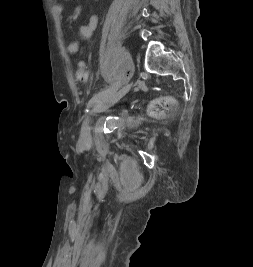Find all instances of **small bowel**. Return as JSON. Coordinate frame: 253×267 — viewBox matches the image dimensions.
<instances>
[{
    "label": "small bowel",
    "mask_w": 253,
    "mask_h": 267,
    "mask_svg": "<svg viewBox=\"0 0 253 267\" xmlns=\"http://www.w3.org/2000/svg\"><path fill=\"white\" fill-rule=\"evenodd\" d=\"M97 1V0H94ZM53 12L62 21L63 6L56 3L52 7ZM98 25V16L96 14H91L87 23L81 24L78 27L79 40H71L67 42L66 50L69 54H75L79 51L80 46L83 41L89 39Z\"/></svg>",
    "instance_id": "small-bowel-1"
}]
</instances>
